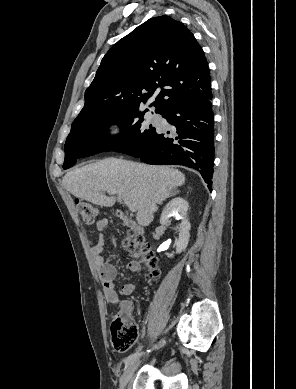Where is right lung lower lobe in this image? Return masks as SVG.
<instances>
[{
	"label": "right lung lower lobe",
	"mask_w": 296,
	"mask_h": 389,
	"mask_svg": "<svg viewBox=\"0 0 296 389\" xmlns=\"http://www.w3.org/2000/svg\"><path fill=\"white\" fill-rule=\"evenodd\" d=\"M212 94L181 103L163 115L177 130L157 131L142 151L129 155L153 165H183L199 171L211 191L214 165Z\"/></svg>",
	"instance_id": "98d812e1"
}]
</instances>
